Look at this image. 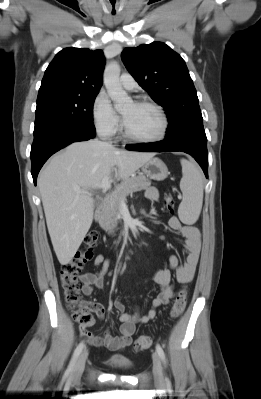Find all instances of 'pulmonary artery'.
I'll list each match as a JSON object with an SVG mask.
<instances>
[{
	"instance_id": "e3ab8cb5",
	"label": "pulmonary artery",
	"mask_w": 261,
	"mask_h": 399,
	"mask_svg": "<svg viewBox=\"0 0 261 399\" xmlns=\"http://www.w3.org/2000/svg\"><path fill=\"white\" fill-rule=\"evenodd\" d=\"M120 82L123 88L127 90H133L137 86V83L133 76L127 73H124L120 76Z\"/></svg>"
}]
</instances>
